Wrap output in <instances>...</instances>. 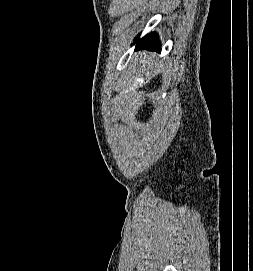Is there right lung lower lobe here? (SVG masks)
Wrapping results in <instances>:
<instances>
[{
  "instance_id": "98d812e1",
  "label": "right lung lower lobe",
  "mask_w": 253,
  "mask_h": 271,
  "mask_svg": "<svg viewBox=\"0 0 253 271\" xmlns=\"http://www.w3.org/2000/svg\"><path fill=\"white\" fill-rule=\"evenodd\" d=\"M136 42H137V39L134 40V43ZM136 48H148V49L160 51L161 47L158 41L157 34L150 33L146 35L145 37H143L137 42Z\"/></svg>"
}]
</instances>
